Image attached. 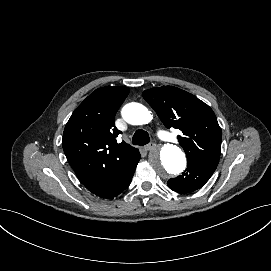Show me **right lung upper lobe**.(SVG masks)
<instances>
[{"label": "right lung upper lobe", "mask_w": 271, "mask_h": 271, "mask_svg": "<svg viewBox=\"0 0 271 271\" xmlns=\"http://www.w3.org/2000/svg\"><path fill=\"white\" fill-rule=\"evenodd\" d=\"M128 87L106 86L92 92L67 122L62 146L68 162L87 189L96 187L111 170L130 160L138 149L122 142L114 117L129 94Z\"/></svg>", "instance_id": "cb5924a9"}]
</instances>
